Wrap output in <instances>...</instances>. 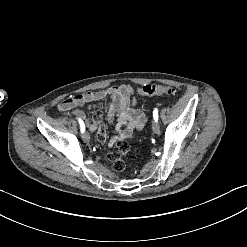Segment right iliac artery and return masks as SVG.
Returning a JSON list of instances; mask_svg holds the SVG:
<instances>
[{
	"label": "right iliac artery",
	"mask_w": 247,
	"mask_h": 247,
	"mask_svg": "<svg viewBox=\"0 0 247 247\" xmlns=\"http://www.w3.org/2000/svg\"><path fill=\"white\" fill-rule=\"evenodd\" d=\"M78 120H79V124H80V131H81V133H84V131H85V124H84V122L80 118Z\"/></svg>",
	"instance_id": "obj_1"
}]
</instances>
